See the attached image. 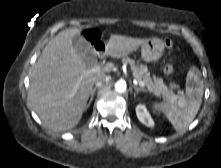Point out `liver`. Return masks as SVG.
I'll list each match as a JSON object with an SVG mask.
<instances>
[{"mask_svg": "<svg viewBox=\"0 0 221 168\" xmlns=\"http://www.w3.org/2000/svg\"><path fill=\"white\" fill-rule=\"evenodd\" d=\"M81 29L59 32L44 47L35 63L29 99L42 122L54 131L74 128L82 118L93 85L113 69L106 64L98 73H86V64L75 51L72 41ZM147 39L111 35L106 51L121 58L136 51Z\"/></svg>", "mask_w": 221, "mask_h": 168, "instance_id": "1", "label": "liver"}]
</instances>
